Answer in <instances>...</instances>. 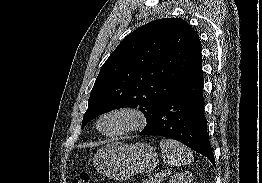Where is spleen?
Returning a JSON list of instances; mask_svg holds the SVG:
<instances>
[{
  "label": "spleen",
  "mask_w": 262,
  "mask_h": 183,
  "mask_svg": "<svg viewBox=\"0 0 262 183\" xmlns=\"http://www.w3.org/2000/svg\"><path fill=\"white\" fill-rule=\"evenodd\" d=\"M163 160L172 166H184L192 162V152L183 144L172 139L160 141Z\"/></svg>",
  "instance_id": "spleen-1"
}]
</instances>
